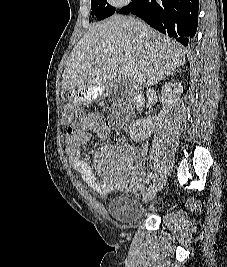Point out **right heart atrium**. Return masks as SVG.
Segmentation results:
<instances>
[{"label": "right heart atrium", "mask_w": 227, "mask_h": 267, "mask_svg": "<svg viewBox=\"0 0 227 267\" xmlns=\"http://www.w3.org/2000/svg\"><path fill=\"white\" fill-rule=\"evenodd\" d=\"M112 5L123 7L131 3L132 0H108Z\"/></svg>", "instance_id": "d8ad5b80"}]
</instances>
